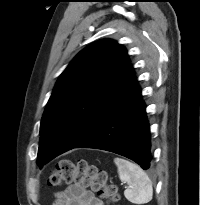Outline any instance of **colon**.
I'll return each mask as SVG.
<instances>
[{"label":"colon","instance_id":"1","mask_svg":"<svg viewBox=\"0 0 200 205\" xmlns=\"http://www.w3.org/2000/svg\"><path fill=\"white\" fill-rule=\"evenodd\" d=\"M71 183L88 187L109 202H118L120 199L117 187L108 182L106 172L86 160H78L76 163L69 160L59 161L47 180L49 187Z\"/></svg>","mask_w":200,"mask_h":205}]
</instances>
